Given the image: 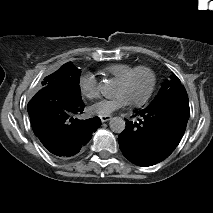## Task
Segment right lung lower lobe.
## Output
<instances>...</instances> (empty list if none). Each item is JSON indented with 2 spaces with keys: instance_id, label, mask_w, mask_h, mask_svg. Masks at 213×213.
Segmentation results:
<instances>
[{
  "instance_id": "1",
  "label": "right lung lower lobe",
  "mask_w": 213,
  "mask_h": 213,
  "mask_svg": "<svg viewBox=\"0 0 213 213\" xmlns=\"http://www.w3.org/2000/svg\"><path fill=\"white\" fill-rule=\"evenodd\" d=\"M81 97L57 86H45L28 103L27 110L35 134L43 145L58 156L79 152L100 126L99 117L78 120L83 113Z\"/></svg>"
}]
</instances>
